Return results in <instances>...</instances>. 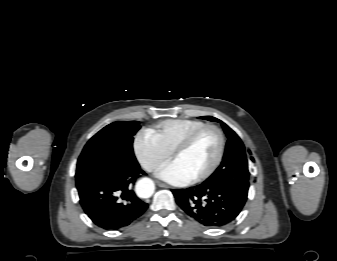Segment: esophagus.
<instances>
[{"instance_id": "esophagus-1", "label": "esophagus", "mask_w": 337, "mask_h": 261, "mask_svg": "<svg viewBox=\"0 0 337 261\" xmlns=\"http://www.w3.org/2000/svg\"><path fill=\"white\" fill-rule=\"evenodd\" d=\"M157 185L161 188H172L171 186L165 184V183H162V182H157Z\"/></svg>"}]
</instances>
